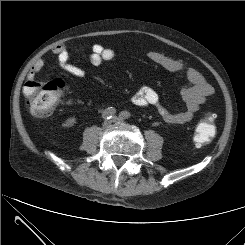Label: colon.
Segmentation results:
<instances>
[{
    "label": "colon",
    "mask_w": 245,
    "mask_h": 245,
    "mask_svg": "<svg viewBox=\"0 0 245 245\" xmlns=\"http://www.w3.org/2000/svg\"><path fill=\"white\" fill-rule=\"evenodd\" d=\"M64 83L62 80L50 81L29 80L24 86V94L31 113L38 117L48 116L54 107L63 102ZM216 115L208 113L201 120L194 132L193 141L197 148L206 146L216 132Z\"/></svg>",
    "instance_id": "obj_1"
}]
</instances>
